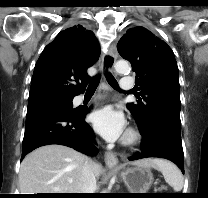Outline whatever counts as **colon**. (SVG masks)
<instances>
[{
  "mask_svg": "<svg viewBox=\"0 0 208 198\" xmlns=\"http://www.w3.org/2000/svg\"><path fill=\"white\" fill-rule=\"evenodd\" d=\"M158 190L163 191V190H167V188L165 186L159 187Z\"/></svg>",
  "mask_w": 208,
  "mask_h": 198,
  "instance_id": "obj_1",
  "label": "colon"
}]
</instances>
